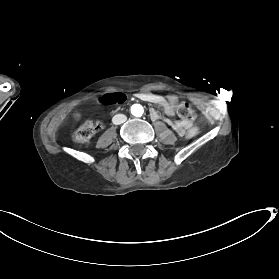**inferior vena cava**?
<instances>
[{"instance_id": "1", "label": "inferior vena cava", "mask_w": 279, "mask_h": 279, "mask_svg": "<svg viewBox=\"0 0 279 279\" xmlns=\"http://www.w3.org/2000/svg\"><path fill=\"white\" fill-rule=\"evenodd\" d=\"M126 120H127V117L122 114L115 115L112 119L113 123L116 125L122 124V123H124L123 121H126Z\"/></svg>"}]
</instances>
